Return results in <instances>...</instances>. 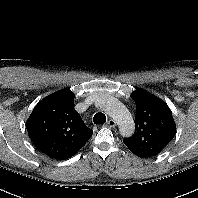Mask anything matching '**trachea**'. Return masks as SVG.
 <instances>
[{
    "label": "trachea",
    "instance_id": "3493384b",
    "mask_svg": "<svg viewBox=\"0 0 198 198\" xmlns=\"http://www.w3.org/2000/svg\"><path fill=\"white\" fill-rule=\"evenodd\" d=\"M93 122L95 124H103V123H105L106 122V116H105V114L102 113V112L96 113L94 115V117H93Z\"/></svg>",
    "mask_w": 198,
    "mask_h": 198
}]
</instances>
